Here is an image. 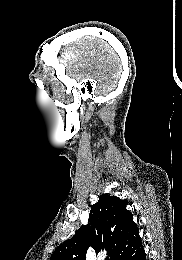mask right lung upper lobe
Returning a JSON list of instances; mask_svg holds the SVG:
<instances>
[{
  "mask_svg": "<svg viewBox=\"0 0 182 260\" xmlns=\"http://www.w3.org/2000/svg\"><path fill=\"white\" fill-rule=\"evenodd\" d=\"M126 206L127 202L119 197L100 195L98 202L91 206L88 224L60 244L50 260H86L89 246L96 253L106 249L110 260H116L140 240L138 227Z\"/></svg>",
  "mask_w": 182,
  "mask_h": 260,
  "instance_id": "1",
  "label": "right lung upper lobe"
}]
</instances>
